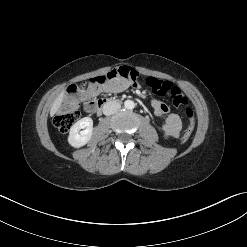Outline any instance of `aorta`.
<instances>
[{
  "mask_svg": "<svg viewBox=\"0 0 247 247\" xmlns=\"http://www.w3.org/2000/svg\"><path fill=\"white\" fill-rule=\"evenodd\" d=\"M124 106L126 109H133L135 107V103L132 100H126L124 102Z\"/></svg>",
  "mask_w": 247,
  "mask_h": 247,
  "instance_id": "762f6f07",
  "label": "aorta"
}]
</instances>
